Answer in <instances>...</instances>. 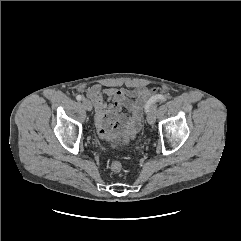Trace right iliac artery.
<instances>
[{
    "mask_svg": "<svg viewBox=\"0 0 241 241\" xmlns=\"http://www.w3.org/2000/svg\"><path fill=\"white\" fill-rule=\"evenodd\" d=\"M82 98H83V97H82L81 95H77V96H76V99H77L78 101H81Z\"/></svg>",
    "mask_w": 241,
    "mask_h": 241,
    "instance_id": "right-iliac-artery-1",
    "label": "right iliac artery"
}]
</instances>
